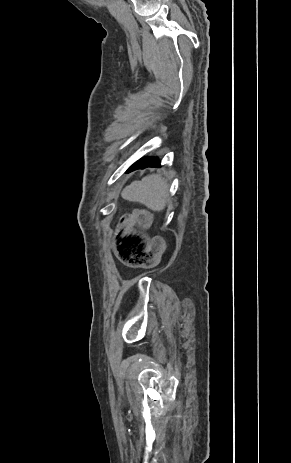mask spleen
Returning a JSON list of instances; mask_svg holds the SVG:
<instances>
[{"label": "spleen", "instance_id": "1", "mask_svg": "<svg viewBox=\"0 0 291 463\" xmlns=\"http://www.w3.org/2000/svg\"><path fill=\"white\" fill-rule=\"evenodd\" d=\"M121 195L128 201L139 202L153 211L160 212L166 207L168 184L161 175H147L141 181H133L125 187Z\"/></svg>", "mask_w": 291, "mask_h": 463}]
</instances>
